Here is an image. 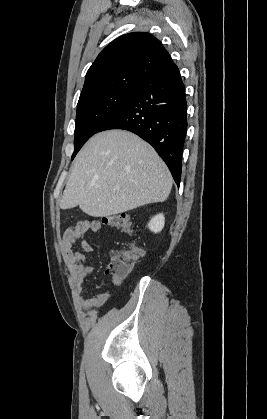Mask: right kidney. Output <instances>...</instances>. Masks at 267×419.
<instances>
[{
	"label": "right kidney",
	"mask_w": 267,
	"mask_h": 419,
	"mask_svg": "<svg viewBox=\"0 0 267 419\" xmlns=\"http://www.w3.org/2000/svg\"><path fill=\"white\" fill-rule=\"evenodd\" d=\"M165 224V217L163 214H157L153 218H151L150 222L148 223V228L154 232H160Z\"/></svg>",
	"instance_id": "obj_1"
}]
</instances>
